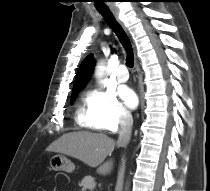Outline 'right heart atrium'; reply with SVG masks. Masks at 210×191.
<instances>
[{
  "mask_svg": "<svg viewBox=\"0 0 210 191\" xmlns=\"http://www.w3.org/2000/svg\"><path fill=\"white\" fill-rule=\"evenodd\" d=\"M88 106L100 129L115 132L131 121V114L111 90L95 89L90 92Z\"/></svg>",
  "mask_w": 210,
  "mask_h": 191,
  "instance_id": "right-heart-atrium-1",
  "label": "right heart atrium"
}]
</instances>
